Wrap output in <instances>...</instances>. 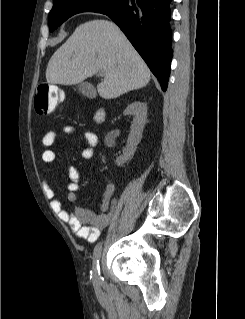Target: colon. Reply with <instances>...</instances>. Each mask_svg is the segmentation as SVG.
<instances>
[{
    "label": "colon",
    "instance_id": "1",
    "mask_svg": "<svg viewBox=\"0 0 245 319\" xmlns=\"http://www.w3.org/2000/svg\"><path fill=\"white\" fill-rule=\"evenodd\" d=\"M62 99L63 93L59 87L50 84H40L35 94V111L41 116L49 115Z\"/></svg>",
    "mask_w": 245,
    "mask_h": 319
}]
</instances>
